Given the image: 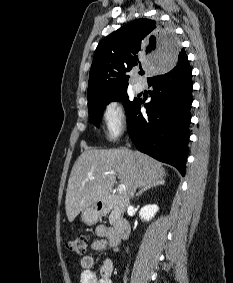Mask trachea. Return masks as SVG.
Here are the masks:
<instances>
[{
    "instance_id": "trachea-1",
    "label": "trachea",
    "mask_w": 233,
    "mask_h": 283,
    "mask_svg": "<svg viewBox=\"0 0 233 283\" xmlns=\"http://www.w3.org/2000/svg\"><path fill=\"white\" fill-rule=\"evenodd\" d=\"M140 74H141V75H143L144 73H143V72H141Z\"/></svg>"
}]
</instances>
